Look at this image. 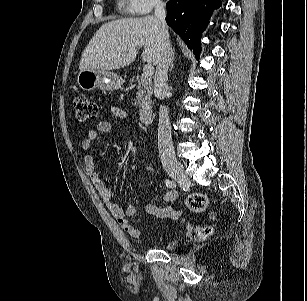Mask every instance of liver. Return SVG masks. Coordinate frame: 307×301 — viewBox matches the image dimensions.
<instances>
[{
	"label": "liver",
	"mask_w": 307,
	"mask_h": 301,
	"mask_svg": "<svg viewBox=\"0 0 307 301\" xmlns=\"http://www.w3.org/2000/svg\"><path fill=\"white\" fill-rule=\"evenodd\" d=\"M144 47L142 60L157 65L161 49V25L152 15L117 19L103 24L82 53L79 69L112 70L131 64Z\"/></svg>",
	"instance_id": "obj_1"
}]
</instances>
